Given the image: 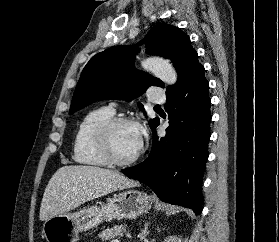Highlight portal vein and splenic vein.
<instances>
[{
	"label": "portal vein and splenic vein",
	"mask_w": 279,
	"mask_h": 242,
	"mask_svg": "<svg viewBox=\"0 0 279 242\" xmlns=\"http://www.w3.org/2000/svg\"><path fill=\"white\" fill-rule=\"evenodd\" d=\"M112 242H119L118 240H114V241H112Z\"/></svg>",
	"instance_id": "portal-vein-and-splenic-vein-1"
}]
</instances>
